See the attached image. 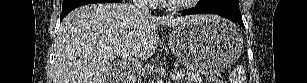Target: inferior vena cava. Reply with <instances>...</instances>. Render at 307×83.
Instances as JSON below:
<instances>
[{
    "label": "inferior vena cava",
    "mask_w": 307,
    "mask_h": 83,
    "mask_svg": "<svg viewBox=\"0 0 307 83\" xmlns=\"http://www.w3.org/2000/svg\"><path fill=\"white\" fill-rule=\"evenodd\" d=\"M133 6L135 7V9L139 10L142 15H149L147 0H134Z\"/></svg>",
    "instance_id": "obj_1"
}]
</instances>
